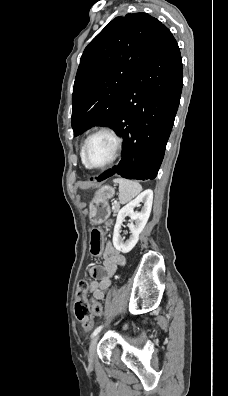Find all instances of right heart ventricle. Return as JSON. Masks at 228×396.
<instances>
[{"instance_id":"e07e8e85","label":"right heart ventricle","mask_w":228,"mask_h":396,"mask_svg":"<svg viewBox=\"0 0 228 396\" xmlns=\"http://www.w3.org/2000/svg\"><path fill=\"white\" fill-rule=\"evenodd\" d=\"M82 149H83V146L81 147V150H80V156H81L82 163L84 164V162H83V157H82ZM84 165H85V164H84Z\"/></svg>"}]
</instances>
